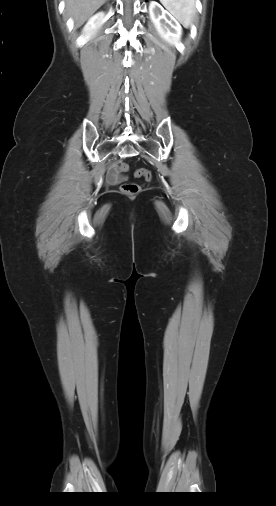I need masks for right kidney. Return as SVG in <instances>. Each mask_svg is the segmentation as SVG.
Here are the masks:
<instances>
[{
	"label": "right kidney",
	"instance_id": "obj_1",
	"mask_svg": "<svg viewBox=\"0 0 276 506\" xmlns=\"http://www.w3.org/2000/svg\"><path fill=\"white\" fill-rule=\"evenodd\" d=\"M104 16H105L104 13L100 12L92 16L88 20L87 24L85 25L82 31L83 42L92 39L94 37L97 30L103 23Z\"/></svg>",
	"mask_w": 276,
	"mask_h": 506
}]
</instances>
